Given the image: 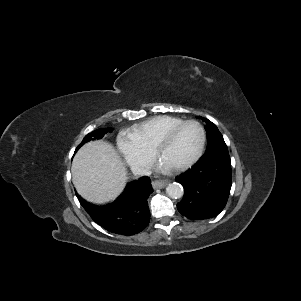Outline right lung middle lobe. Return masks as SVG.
<instances>
[{
    "label": "right lung middle lobe",
    "instance_id": "obj_1",
    "mask_svg": "<svg viewBox=\"0 0 301 301\" xmlns=\"http://www.w3.org/2000/svg\"><path fill=\"white\" fill-rule=\"evenodd\" d=\"M111 132L112 129H99L96 130L92 133H89L88 135H86L83 139V141L81 142V144L77 147L76 151L82 146L84 145L86 142L90 141V140H94V139H100L104 136L105 133L107 132Z\"/></svg>",
    "mask_w": 301,
    "mask_h": 301
}]
</instances>
